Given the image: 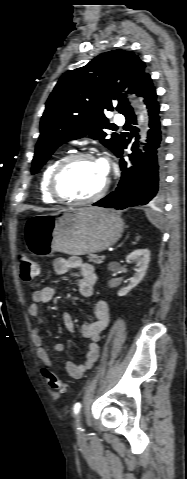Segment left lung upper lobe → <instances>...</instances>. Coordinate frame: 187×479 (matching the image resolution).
Here are the masks:
<instances>
[{"instance_id": "5c2ea615", "label": "left lung upper lobe", "mask_w": 187, "mask_h": 479, "mask_svg": "<svg viewBox=\"0 0 187 479\" xmlns=\"http://www.w3.org/2000/svg\"><path fill=\"white\" fill-rule=\"evenodd\" d=\"M145 67L134 52L118 49L64 74L46 102L32 174L61 144L87 134L117 154L121 140L115 133L111 139H105L104 130L109 126L103 112L115 108L125 113L130 105L121 91L128 88L129 92L138 95L143 80L150 76Z\"/></svg>"}]
</instances>
